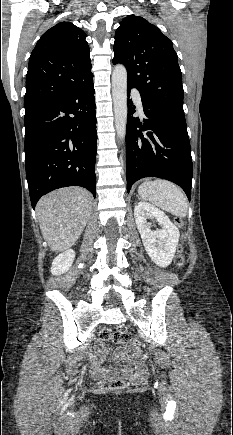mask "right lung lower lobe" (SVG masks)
<instances>
[{
    "instance_id": "98d812e1",
    "label": "right lung lower lobe",
    "mask_w": 233,
    "mask_h": 435,
    "mask_svg": "<svg viewBox=\"0 0 233 435\" xmlns=\"http://www.w3.org/2000/svg\"><path fill=\"white\" fill-rule=\"evenodd\" d=\"M93 74L25 113V166L32 207L46 193L81 186L96 196Z\"/></svg>"
}]
</instances>
